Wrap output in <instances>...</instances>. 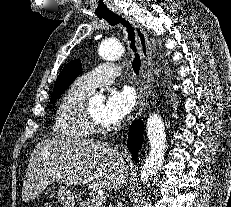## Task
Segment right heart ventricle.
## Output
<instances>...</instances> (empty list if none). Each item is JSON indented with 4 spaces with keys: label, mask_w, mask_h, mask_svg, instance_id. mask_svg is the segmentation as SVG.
Here are the masks:
<instances>
[{
    "label": "right heart ventricle",
    "mask_w": 231,
    "mask_h": 207,
    "mask_svg": "<svg viewBox=\"0 0 231 207\" xmlns=\"http://www.w3.org/2000/svg\"><path fill=\"white\" fill-rule=\"evenodd\" d=\"M90 93L74 83L62 96L56 110L54 136L68 142H82L93 137L84 118V104Z\"/></svg>",
    "instance_id": "1"
}]
</instances>
